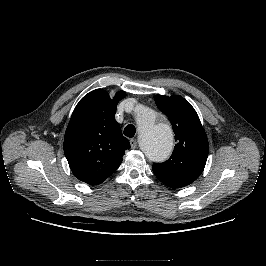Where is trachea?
Segmentation results:
<instances>
[{
	"mask_svg": "<svg viewBox=\"0 0 266 266\" xmlns=\"http://www.w3.org/2000/svg\"><path fill=\"white\" fill-rule=\"evenodd\" d=\"M135 133H136V129L134 125L129 124L124 129V135L129 138L134 137Z\"/></svg>",
	"mask_w": 266,
	"mask_h": 266,
	"instance_id": "trachea-1",
	"label": "trachea"
}]
</instances>
